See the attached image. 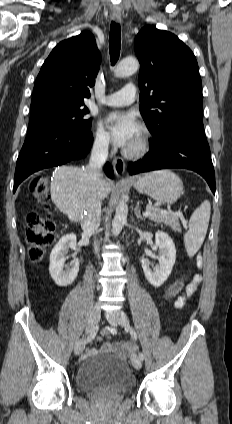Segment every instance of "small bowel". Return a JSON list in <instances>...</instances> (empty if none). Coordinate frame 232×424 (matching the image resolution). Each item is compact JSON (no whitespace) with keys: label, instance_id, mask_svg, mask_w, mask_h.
Instances as JSON below:
<instances>
[{"label":"small bowel","instance_id":"c3829d8e","mask_svg":"<svg viewBox=\"0 0 232 424\" xmlns=\"http://www.w3.org/2000/svg\"><path fill=\"white\" fill-rule=\"evenodd\" d=\"M200 282V278L196 277L194 279V281L190 284L189 288H188V294H193L196 289L197 286ZM183 304V300H179L177 302V306H182ZM114 332V330L112 328H106L105 330H103L100 338H99V342L101 343L100 348H95V347H90L86 350L85 353V357H92L95 356L99 353L102 354H109V353H117L120 355H130L134 352L135 347L133 345H129V349L127 351H122L121 349L118 348V343L119 342H113L110 339L111 334ZM130 344V343H128Z\"/></svg>","mask_w":232,"mask_h":424}]
</instances>
